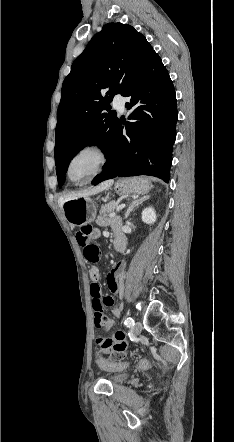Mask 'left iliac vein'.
I'll return each mask as SVG.
<instances>
[{
    "mask_svg": "<svg viewBox=\"0 0 234 442\" xmlns=\"http://www.w3.org/2000/svg\"><path fill=\"white\" fill-rule=\"evenodd\" d=\"M142 323L141 322H139V321H137L136 323H135V325L133 326V333L135 334V335H138L141 331H142Z\"/></svg>",
    "mask_w": 234,
    "mask_h": 442,
    "instance_id": "obj_1",
    "label": "left iliac vein"
}]
</instances>
